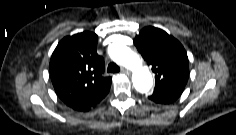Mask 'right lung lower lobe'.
<instances>
[{
	"mask_svg": "<svg viewBox=\"0 0 236 135\" xmlns=\"http://www.w3.org/2000/svg\"><path fill=\"white\" fill-rule=\"evenodd\" d=\"M110 85L106 87L101 93L81 101L65 102L66 105L77 111H89L92 107L98 104L109 92Z\"/></svg>",
	"mask_w": 236,
	"mask_h": 135,
	"instance_id": "right-lung-lower-lobe-1",
	"label": "right lung lower lobe"
}]
</instances>
